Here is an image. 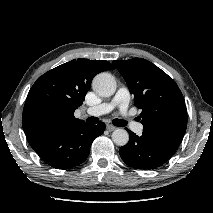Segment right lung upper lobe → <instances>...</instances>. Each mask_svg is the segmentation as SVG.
Segmentation results:
<instances>
[{
	"label": "right lung upper lobe",
	"instance_id": "cb5924a9",
	"mask_svg": "<svg viewBox=\"0 0 213 213\" xmlns=\"http://www.w3.org/2000/svg\"><path fill=\"white\" fill-rule=\"evenodd\" d=\"M114 69L108 61L74 59L40 76L31 87L22 115L25 132H58L85 123L74 117L93 77Z\"/></svg>",
	"mask_w": 213,
	"mask_h": 213
}]
</instances>
